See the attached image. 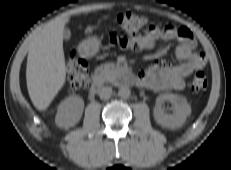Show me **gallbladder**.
<instances>
[{
    "mask_svg": "<svg viewBox=\"0 0 231 170\" xmlns=\"http://www.w3.org/2000/svg\"><path fill=\"white\" fill-rule=\"evenodd\" d=\"M71 37V32L69 29H64L63 31V39L68 41Z\"/></svg>",
    "mask_w": 231,
    "mask_h": 170,
    "instance_id": "1",
    "label": "gallbladder"
}]
</instances>
